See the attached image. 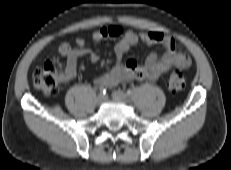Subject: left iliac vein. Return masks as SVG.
Listing matches in <instances>:
<instances>
[{
	"mask_svg": "<svg viewBox=\"0 0 231 170\" xmlns=\"http://www.w3.org/2000/svg\"><path fill=\"white\" fill-rule=\"evenodd\" d=\"M112 98L117 101H126L127 95L120 90H115L112 92Z\"/></svg>",
	"mask_w": 231,
	"mask_h": 170,
	"instance_id": "4c4485c4",
	"label": "left iliac vein"
}]
</instances>
